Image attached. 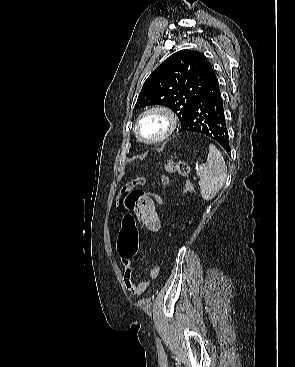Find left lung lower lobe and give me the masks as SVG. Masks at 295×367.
I'll list each match as a JSON object with an SVG mask.
<instances>
[{
  "mask_svg": "<svg viewBox=\"0 0 295 367\" xmlns=\"http://www.w3.org/2000/svg\"><path fill=\"white\" fill-rule=\"evenodd\" d=\"M180 131L197 132L211 137L229 153L224 103L215 73L189 108Z\"/></svg>",
  "mask_w": 295,
  "mask_h": 367,
  "instance_id": "1",
  "label": "left lung lower lobe"
}]
</instances>
